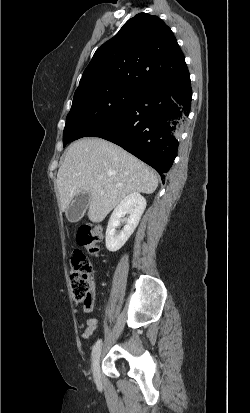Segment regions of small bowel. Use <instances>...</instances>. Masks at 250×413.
Instances as JSON below:
<instances>
[{
  "label": "small bowel",
  "instance_id": "c3829d8e",
  "mask_svg": "<svg viewBox=\"0 0 250 413\" xmlns=\"http://www.w3.org/2000/svg\"><path fill=\"white\" fill-rule=\"evenodd\" d=\"M92 310V306H84V313H89ZM86 328L82 333L83 339H88L97 327V320L94 318H86Z\"/></svg>",
  "mask_w": 250,
  "mask_h": 413
}]
</instances>
